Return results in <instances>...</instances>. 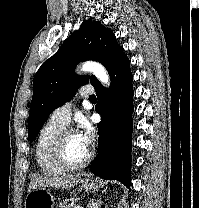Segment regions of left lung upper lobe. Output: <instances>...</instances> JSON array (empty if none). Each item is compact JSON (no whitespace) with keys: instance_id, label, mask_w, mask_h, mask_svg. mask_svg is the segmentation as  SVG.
Listing matches in <instances>:
<instances>
[{"instance_id":"5c2ea615","label":"left lung upper lobe","mask_w":199,"mask_h":208,"mask_svg":"<svg viewBox=\"0 0 199 208\" xmlns=\"http://www.w3.org/2000/svg\"><path fill=\"white\" fill-rule=\"evenodd\" d=\"M126 55L116 42L111 29L99 21H84L59 50L46 60L33 79V97L28 118V136L32 141L38 135L48 116L69 101L78 87L100 82L94 76H76L74 69L80 61L96 60L109 74Z\"/></svg>"}]
</instances>
